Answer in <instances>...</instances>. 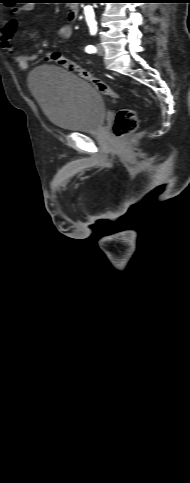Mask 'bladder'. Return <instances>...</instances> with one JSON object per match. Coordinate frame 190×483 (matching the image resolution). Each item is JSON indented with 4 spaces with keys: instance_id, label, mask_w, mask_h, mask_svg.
Returning a JSON list of instances; mask_svg holds the SVG:
<instances>
[{
    "instance_id": "1",
    "label": "bladder",
    "mask_w": 190,
    "mask_h": 483,
    "mask_svg": "<svg viewBox=\"0 0 190 483\" xmlns=\"http://www.w3.org/2000/svg\"><path fill=\"white\" fill-rule=\"evenodd\" d=\"M29 88L45 117L70 132L99 130L106 107L100 92L89 82L56 66H41L29 77Z\"/></svg>"
}]
</instances>
